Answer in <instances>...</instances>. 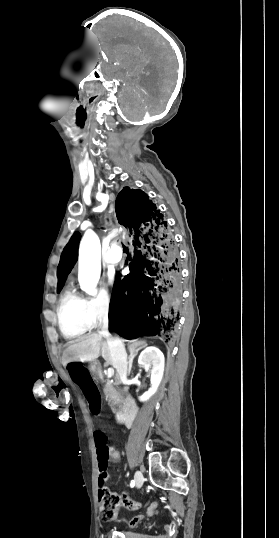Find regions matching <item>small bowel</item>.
Wrapping results in <instances>:
<instances>
[{
    "mask_svg": "<svg viewBox=\"0 0 279 538\" xmlns=\"http://www.w3.org/2000/svg\"><path fill=\"white\" fill-rule=\"evenodd\" d=\"M111 458L117 462L120 460V455L119 453L115 450V449H111V454H110ZM121 503L126 506L128 509L130 510H138L141 508L142 504L138 501H134L132 500L128 495L124 494L122 495L121 497ZM157 510V503L154 502L151 504V506L149 507L147 513H146V516H151L153 515ZM145 516L144 515H137L135 517H133L131 519V521L129 522V526L130 527H134L139 521H141Z\"/></svg>",
    "mask_w": 279,
    "mask_h": 538,
    "instance_id": "small-bowel-1",
    "label": "small bowel"
}]
</instances>
